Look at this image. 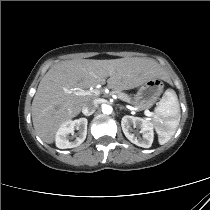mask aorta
<instances>
[{
  "label": "aorta",
  "mask_w": 210,
  "mask_h": 210,
  "mask_svg": "<svg viewBox=\"0 0 210 210\" xmlns=\"http://www.w3.org/2000/svg\"><path fill=\"white\" fill-rule=\"evenodd\" d=\"M112 107L110 105H103L102 106V112L106 115H109L112 113Z\"/></svg>",
  "instance_id": "obj_1"
}]
</instances>
